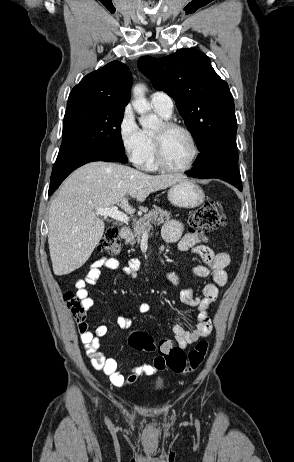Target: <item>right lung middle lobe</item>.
Masks as SVG:
<instances>
[{
	"mask_svg": "<svg viewBox=\"0 0 294 462\" xmlns=\"http://www.w3.org/2000/svg\"><path fill=\"white\" fill-rule=\"evenodd\" d=\"M124 110V106L107 104L67 106L57 159L100 150L124 151L121 138Z\"/></svg>",
	"mask_w": 294,
	"mask_h": 462,
	"instance_id": "dd1d6c3e",
	"label": "right lung middle lobe"
}]
</instances>
